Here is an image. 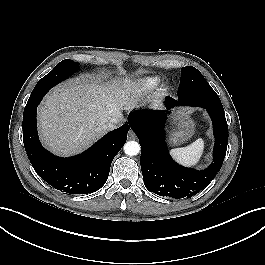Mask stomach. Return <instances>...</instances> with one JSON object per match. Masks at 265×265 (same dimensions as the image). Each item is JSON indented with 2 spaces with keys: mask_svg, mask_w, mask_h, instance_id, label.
Returning <instances> with one entry per match:
<instances>
[{
  "mask_svg": "<svg viewBox=\"0 0 265 265\" xmlns=\"http://www.w3.org/2000/svg\"><path fill=\"white\" fill-rule=\"evenodd\" d=\"M173 122L177 128L170 132L171 144H179L186 141L194 131V122L182 111H176L173 115Z\"/></svg>",
  "mask_w": 265,
  "mask_h": 265,
  "instance_id": "stomach-1",
  "label": "stomach"
}]
</instances>
